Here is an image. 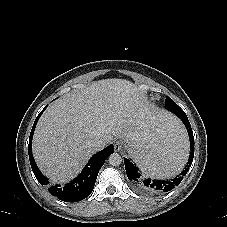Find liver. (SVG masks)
I'll list each match as a JSON object with an SVG mask.
<instances>
[{"mask_svg": "<svg viewBox=\"0 0 227 227\" xmlns=\"http://www.w3.org/2000/svg\"><path fill=\"white\" fill-rule=\"evenodd\" d=\"M164 115L169 114L150 107L143 92L130 81H96L48 107L34 133V158L53 183H65L95 152L89 141L103 138L110 143L113 137L132 141L147 121Z\"/></svg>", "mask_w": 227, "mask_h": 227, "instance_id": "6515ba94", "label": "liver"}]
</instances>
